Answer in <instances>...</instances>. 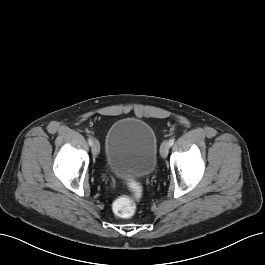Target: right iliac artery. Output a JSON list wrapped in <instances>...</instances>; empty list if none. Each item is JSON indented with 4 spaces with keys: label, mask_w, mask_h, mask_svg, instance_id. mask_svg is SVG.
<instances>
[{
    "label": "right iliac artery",
    "mask_w": 265,
    "mask_h": 265,
    "mask_svg": "<svg viewBox=\"0 0 265 265\" xmlns=\"http://www.w3.org/2000/svg\"><path fill=\"white\" fill-rule=\"evenodd\" d=\"M88 143H89V145H91V146H92V144H93V140H92V138H91V137H89V138H88Z\"/></svg>",
    "instance_id": "obj_1"
}]
</instances>
